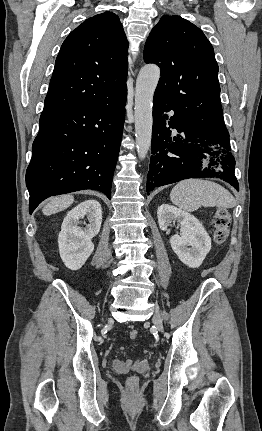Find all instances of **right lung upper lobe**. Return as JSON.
<instances>
[{
    "label": "right lung upper lobe",
    "instance_id": "cb5924a9",
    "mask_svg": "<svg viewBox=\"0 0 262 431\" xmlns=\"http://www.w3.org/2000/svg\"><path fill=\"white\" fill-rule=\"evenodd\" d=\"M128 41L117 15L85 20L63 42L45 107L88 106L115 100L126 89Z\"/></svg>",
    "mask_w": 262,
    "mask_h": 431
}]
</instances>
